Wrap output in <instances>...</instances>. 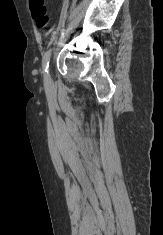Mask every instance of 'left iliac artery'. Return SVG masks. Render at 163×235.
I'll return each instance as SVG.
<instances>
[{"instance_id":"44dca946","label":"left iliac artery","mask_w":163,"mask_h":235,"mask_svg":"<svg viewBox=\"0 0 163 235\" xmlns=\"http://www.w3.org/2000/svg\"><path fill=\"white\" fill-rule=\"evenodd\" d=\"M51 53H52V48H49L43 55L42 67L45 75L48 73Z\"/></svg>"}]
</instances>
